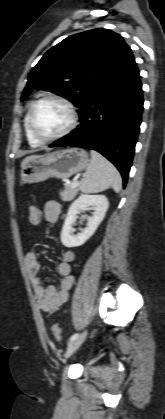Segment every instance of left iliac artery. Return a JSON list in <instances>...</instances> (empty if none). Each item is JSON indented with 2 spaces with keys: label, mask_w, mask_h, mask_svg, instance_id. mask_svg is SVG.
I'll return each mask as SVG.
<instances>
[{
  "label": "left iliac artery",
  "mask_w": 165,
  "mask_h": 419,
  "mask_svg": "<svg viewBox=\"0 0 165 419\" xmlns=\"http://www.w3.org/2000/svg\"><path fill=\"white\" fill-rule=\"evenodd\" d=\"M78 336H79V334H78V333L73 334V335L70 337V341H72V340L76 339Z\"/></svg>",
  "instance_id": "44dca946"
}]
</instances>
